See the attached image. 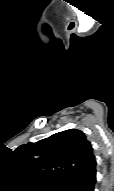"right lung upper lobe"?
Listing matches in <instances>:
<instances>
[{
	"mask_svg": "<svg viewBox=\"0 0 114 191\" xmlns=\"http://www.w3.org/2000/svg\"><path fill=\"white\" fill-rule=\"evenodd\" d=\"M15 152L34 179L48 189H57L96 168L92 146L85 134L77 129L21 145Z\"/></svg>",
	"mask_w": 114,
	"mask_h": 191,
	"instance_id": "cb5924a9",
	"label": "right lung upper lobe"
}]
</instances>
